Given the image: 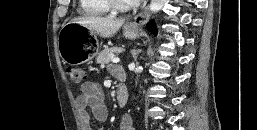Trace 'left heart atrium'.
I'll return each instance as SVG.
<instances>
[{"label": "left heart atrium", "instance_id": "obj_1", "mask_svg": "<svg viewBox=\"0 0 257 130\" xmlns=\"http://www.w3.org/2000/svg\"><path fill=\"white\" fill-rule=\"evenodd\" d=\"M136 3H139L140 1H143V0H134Z\"/></svg>", "mask_w": 257, "mask_h": 130}]
</instances>
